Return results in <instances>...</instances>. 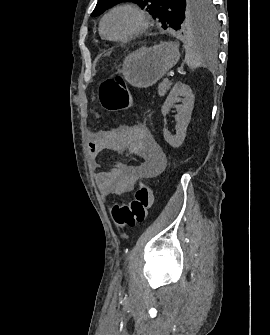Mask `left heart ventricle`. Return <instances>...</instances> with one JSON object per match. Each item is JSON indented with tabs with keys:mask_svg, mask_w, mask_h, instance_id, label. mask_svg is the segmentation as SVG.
I'll use <instances>...</instances> for the list:
<instances>
[{
	"mask_svg": "<svg viewBox=\"0 0 270 335\" xmlns=\"http://www.w3.org/2000/svg\"><path fill=\"white\" fill-rule=\"evenodd\" d=\"M140 20L136 14L128 10H120L111 14L105 23L106 33L117 38L136 30Z\"/></svg>",
	"mask_w": 270,
	"mask_h": 335,
	"instance_id": "b2bd125f",
	"label": "left heart ventricle"
}]
</instances>
